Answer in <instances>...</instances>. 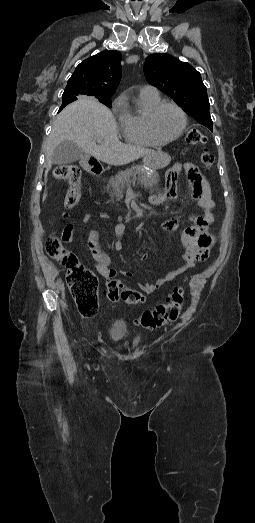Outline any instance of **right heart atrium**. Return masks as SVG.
<instances>
[{
  "instance_id": "d8ad5b80",
  "label": "right heart atrium",
  "mask_w": 255,
  "mask_h": 523,
  "mask_svg": "<svg viewBox=\"0 0 255 523\" xmlns=\"http://www.w3.org/2000/svg\"><path fill=\"white\" fill-rule=\"evenodd\" d=\"M124 98H125L124 94H121V95H119V96L116 98V100H115L114 103H113V109H114L115 111H119V109H120V107H121V105H122V103H123V101H124Z\"/></svg>"
}]
</instances>
